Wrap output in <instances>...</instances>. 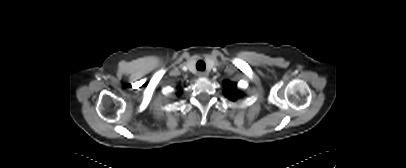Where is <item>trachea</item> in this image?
I'll return each mask as SVG.
<instances>
[{"label":"trachea","mask_w":406,"mask_h":168,"mask_svg":"<svg viewBox=\"0 0 406 168\" xmlns=\"http://www.w3.org/2000/svg\"><path fill=\"white\" fill-rule=\"evenodd\" d=\"M196 68H197V70H199V71H204L205 68H206V65H205L204 61L199 60V61L197 62V64H196Z\"/></svg>","instance_id":"3493384b"}]
</instances>
